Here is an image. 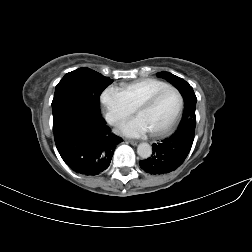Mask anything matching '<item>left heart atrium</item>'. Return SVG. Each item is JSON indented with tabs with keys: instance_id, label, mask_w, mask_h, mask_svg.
I'll return each instance as SVG.
<instances>
[{
	"instance_id": "obj_1",
	"label": "left heart atrium",
	"mask_w": 252,
	"mask_h": 252,
	"mask_svg": "<svg viewBox=\"0 0 252 252\" xmlns=\"http://www.w3.org/2000/svg\"><path fill=\"white\" fill-rule=\"evenodd\" d=\"M121 133L130 137H139L144 135L148 129L141 118H133L124 123L120 128Z\"/></svg>"
}]
</instances>
